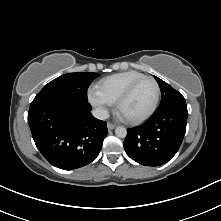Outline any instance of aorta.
<instances>
[{"label": "aorta", "instance_id": "aorta-1", "mask_svg": "<svg viewBox=\"0 0 221 221\" xmlns=\"http://www.w3.org/2000/svg\"><path fill=\"white\" fill-rule=\"evenodd\" d=\"M115 134L119 138H125L127 135V130H126V128H124L122 126H118L115 129Z\"/></svg>", "mask_w": 221, "mask_h": 221}]
</instances>
